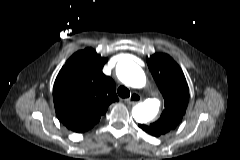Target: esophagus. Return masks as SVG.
Wrapping results in <instances>:
<instances>
[{"mask_svg": "<svg viewBox=\"0 0 240 160\" xmlns=\"http://www.w3.org/2000/svg\"><path fill=\"white\" fill-rule=\"evenodd\" d=\"M141 101V96L138 93H132V95L125 100L127 104L135 105Z\"/></svg>", "mask_w": 240, "mask_h": 160, "instance_id": "1", "label": "esophagus"}]
</instances>
